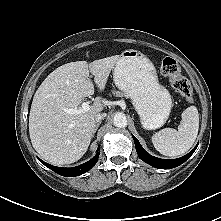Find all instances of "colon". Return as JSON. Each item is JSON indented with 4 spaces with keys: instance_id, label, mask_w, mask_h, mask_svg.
<instances>
[{
    "instance_id": "obj_1",
    "label": "colon",
    "mask_w": 221,
    "mask_h": 221,
    "mask_svg": "<svg viewBox=\"0 0 221 221\" xmlns=\"http://www.w3.org/2000/svg\"><path fill=\"white\" fill-rule=\"evenodd\" d=\"M161 73L169 79L172 87L185 101L191 102L193 100L192 87L188 80L182 76L180 65L175 59L164 58L161 64Z\"/></svg>"
}]
</instances>
